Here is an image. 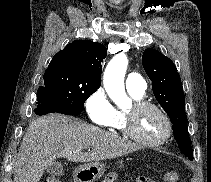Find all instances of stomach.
<instances>
[{"label":"stomach","mask_w":211,"mask_h":182,"mask_svg":"<svg viewBox=\"0 0 211 182\" xmlns=\"http://www.w3.org/2000/svg\"><path fill=\"white\" fill-rule=\"evenodd\" d=\"M120 167L124 165V161H119ZM105 172V165L101 162H92L79 166L74 171L75 182H95L100 179Z\"/></svg>","instance_id":"obj_1"}]
</instances>
